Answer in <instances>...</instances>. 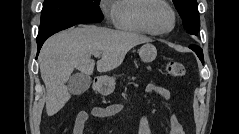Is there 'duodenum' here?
Instances as JSON below:
<instances>
[{"label": "duodenum", "mask_w": 239, "mask_h": 134, "mask_svg": "<svg viewBox=\"0 0 239 134\" xmlns=\"http://www.w3.org/2000/svg\"><path fill=\"white\" fill-rule=\"evenodd\" d=\"M97 81L99 82V86H101L102 85L101 80L97 79Z\"/></svg>", "instance_id": "410a0bca"}]
</instances>
